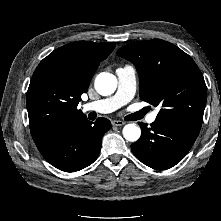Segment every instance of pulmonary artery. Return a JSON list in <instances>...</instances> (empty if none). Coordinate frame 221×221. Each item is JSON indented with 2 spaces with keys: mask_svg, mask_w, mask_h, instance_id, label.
<instances>
[{
  "mask_svg": "<svg viewBox=\"0 0 221 221\" xmlns=\"http://www.w3.org/2000/svg\"><path fill=\"white\" fill-rule=\"evenodd\" d=\"M116 75L118 78V89L115 95L86 103L83 106L84 111H93L101 114L111 113L127 104L133 98L136 90V72L134 67L128 65L118 68ZM156 116L157 111L148 115L146 118L147 123H153L156 120Z\"/></svg>",
  "mask_w": 221,
  "mask_h": 221,
  "instance_id": "e3ab8cb5",
  "label": "pulmonary artery"
}]
</instances>
